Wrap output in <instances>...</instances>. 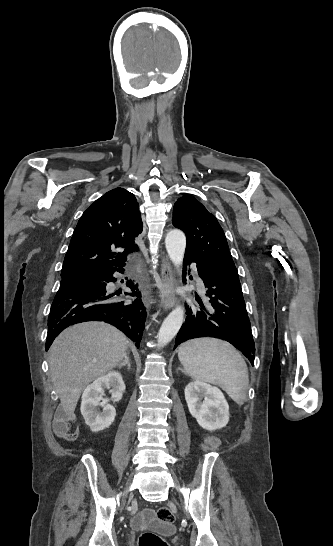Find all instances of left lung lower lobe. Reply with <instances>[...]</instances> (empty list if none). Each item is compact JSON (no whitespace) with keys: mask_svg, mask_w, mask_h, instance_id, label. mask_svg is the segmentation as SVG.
Wrapping results in <instances>:
<instances>
[{"mask_svg":"<svg viewBox=\"0 0 333 546\" xmlns=\"http://www.w3.org/2000/svg\"><path fill=\"white\" fill-rule=\"evenodd\" d=\"M196 263L208 299L187 308L175 346L197 337L221 338L240 350L254 365L255 345L237 272L212 269L191 252L185 251L184 265Z\"/></svg>","mask_w":333,"mask_h":546,"instance_id":"1","label":"left lung lower lobe"}]
</instances>
